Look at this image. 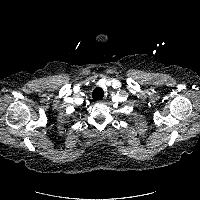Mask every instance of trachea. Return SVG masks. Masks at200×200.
<instances>
[{"mask_svg":"<svg viewBox=\"0 0 200 200\" xmlns=\"http://www.w3.org/2000/svg\"><path fill=\"white\" fill-rule=\"evenodd\" d=\"M104 97V92L103 90L100 88V87H96L94 90H93V93H92V98L94 100H100Z\"/></svg>","mask_w":200,"mask_h":200,"instance_id":"trachea-1","label":"trachea"}]
</instances>
